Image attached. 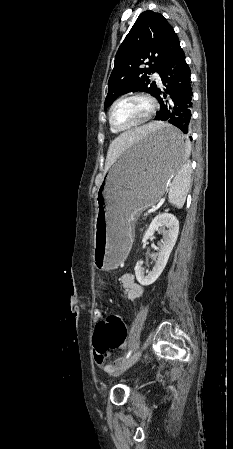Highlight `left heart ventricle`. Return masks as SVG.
<instances>
[{"label": "left heart ventricle", "instance_id": "obj_1", "mask_svg": "<svg viewBox=\"0 0 233 449\" xmlns=\"http://www.w3.org/2000/svg\"><path fill=\"white\" fill-rule=\"evenodd\" d=\"M148 113V104L141 98H126L114 107L112 120L117 126H128L142 120Z\"/></svg>", "mask_w": 233, "mask_h": 449}]
</instances>
